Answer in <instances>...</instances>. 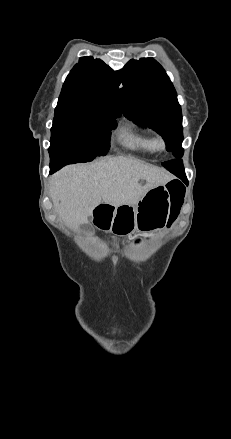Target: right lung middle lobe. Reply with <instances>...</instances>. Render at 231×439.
Masks as SVG:
<instances>
[{
  "label": "right lung middle lobe",
  "instance_id": "dd1d6c3e",
  "mask_svg": "<svg viewBox=\"0 0 231 439\" xmlns=\"http://www.w3.org/2000/svg\"><path fill=\"white\" fill-rule=\"evenodd\" d=\"M121 113L100 108L55 109L48 149L51 163L89 162L106 155L115 118Z\"/></svg>",
  "mask_w": 231,
  "mask_h": 439
}]
</instances>
